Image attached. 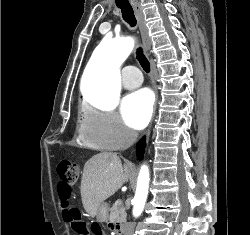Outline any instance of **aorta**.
Returning <instances> with one entry per match:
<instances>
[{"label":"aorta","instance_id":"1","mask_svg":"<svg viewBox=\"0 0 250 235\" xmlns=\"http://www.w3.org/2000/svg\"><path fill=\"white\" fill-rule=\"evenodd\" d=\"M134 47V39L126 37L118 42L103 40L95 49L86 68L84 97L92 104L109 108L116 104L120 90L119 66ZM149 169L143 165L138 176L133 199V216L141 215L148 196Z\"/></svg>","mask_w":250,"mask_h":235}]
</instances>
